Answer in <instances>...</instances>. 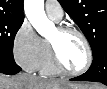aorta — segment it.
I'll list each match as a JSON object with an SVG mask.
<instances>
[{"mask_svg": "<svg viewBox=\"0 0 107 89\" xmlns=\"http://www.w3.org/2000/svg\"><path fill=\"white\" fill-rule=\"evenodd\" d=\"M24 10L29 22L41 36L48 37L55 31L54 23L45 14L44 0H25Z\"/></svg>", "mask_w": 107, "mask_h": 89, "instance_id": "762f6f07", "label": "aorta"}]
</instances>
